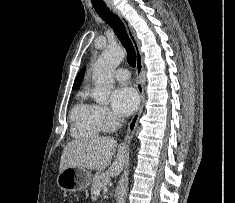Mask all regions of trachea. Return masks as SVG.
<instances>
[{
    "label": "trachea",
    "mask_w": 235,
    "mask_h": 203,
    "mask_svg": "<svg viewBox=\"0 0 235 203\" xmlns=\"http://www.w3.org/2000/svg\"><path fill=\"white\" fill-rule=\"evenodd\" d=\"M97 14L104 20L110 27L113 28L118 39L127 51V61L130 66H136V52L131 39L128 36L126 28L121 19L115 15L108 7L103 4H93Z\"/></svg>",
    "instance_id": "1"
}]
</instances>
